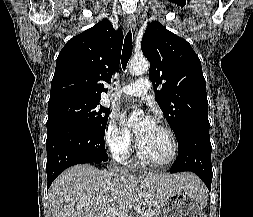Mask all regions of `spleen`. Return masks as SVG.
<instances>
[{
    "label": "spleen",
    "mask_w": 253,
    "mask_h": 217,
    "mask_svg": "<svg viewBox=\"0 0 253 217\" xmlns=\"http://www.w3.org/2000/svg\"><path fill=\"white\" fill-rule=\"evenodd\" d=\"M202 198H203V203L205 204V203H206V198H207L206 194H204V195L202 196Z\"/></svg>",
    "instance_id": "1"
}]
</instances>
